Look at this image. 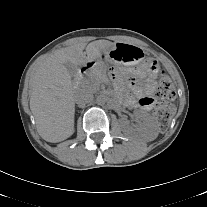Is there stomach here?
Instances as JSON below:
<instances>
[{
	"instance_id": "obj_1",
	"label": "stomach",
	"mask_w": 207,
	"mask_h": 207,
	"mask_svg": "<svg viewBox=\"0 0 207 207\" xmlns=\"http://www.w3.org/2000/svg\"><path fill=\"white\" fill-rule=\"evenodd\" d=\"M101 59L118 65L135 66L145 62L147 57L139 47L115 43L102 54Z\"/></svg>"
}]
</instances>
